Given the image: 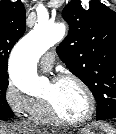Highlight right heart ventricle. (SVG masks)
Returning <instances> with one entry per match:
<instances>
[{
    "instance_id": "1",
    "label": "right heart ventricle",
    "mask_w": 116,
    "mask_h": 134,
    "mask_svg": "<svg viewBox=\"0 0 116 134\" xmlns=\"http://www.w3.org/2000/svg\"><path fill=\"white\" fill-rule=\"evenodd\" d=\"M31 117L39 123L48 124L52 122V117L50 116L47 107L43 100H36V106L31 114Z\"/></svg>"
}]
</instances>
